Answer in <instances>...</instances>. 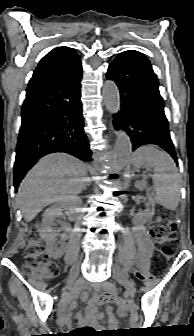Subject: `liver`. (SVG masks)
<instances>
[{
	"instance_id": "obj_1",
	"label": "liver",
	"mask_w": 194,
	"mask_h": 336,
	"mask_svg": "<svg viewBox=\"0 0 194 336\" xmlns=\"http://www.w3.org/2000/svg\"><path fill=\"white\" fill-rule=\"evenodd\" d=\"M86 165L65 153L41 158L21 182L17 202L26 222L32 221L46 206L85 189Z\"/></svg>"
}]
</instances>
